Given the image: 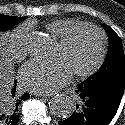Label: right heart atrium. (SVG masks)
<instances>
[{
    "mask_svg": "<svg viewBox=\"0 0 125 125\" xmlns=\"http://www.w3.org/2000/svg\"><path fill=\"white\" fill-rule=\"evenodd\" d=\"M29 40V25L23 24L13 30L7 43L8 50L13 60L20 61L28 54L30 49Z\"/></svg>",
    "mask_w": 125,
    "mask_h": 125,
    "instance_id": "obj_1",
    "label": "right heart atrium"
}]
</instances>
